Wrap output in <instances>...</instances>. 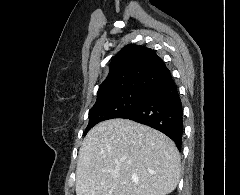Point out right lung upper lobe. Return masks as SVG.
Masks as SVG:
<instances>
[{"label": "right lung upper lobe", "instance_id": "obj_1", "mask_svg": "<svg viewBox=\"0 0 240 195\" xmlns=\"http://www.w3.org/2000/svg\"><path fill=\"white\" fill-rule=\"evenodd\" d=\"M171 77L169 69L152 49L129 44L112 59L97 98L122 91L148 92Z\"/></svg>", "mask_w": 240, "mask_h": 195}]
</instances>
